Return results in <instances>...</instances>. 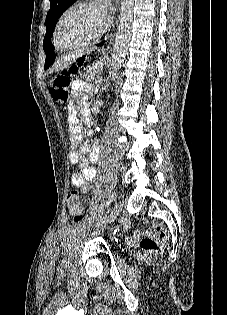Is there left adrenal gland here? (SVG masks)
Masks as SVG:
<instances>
[{
  "mask_svg": "<svg viewBox=\"0 0 227 315\" xmlns=\"http://www.w3.org/2000/svg\"><path fill=\"white\" fill-rule=\"evenodd\" d=\"M103 79L101 76V73L98 75L97 80L95 81L96 87H95V94L98 92V90L100 89V84L102 83ZM104 89V88H103Z\"/></svg>",
  "mask_w": 227,
  "mask_h": 315,
  "instance_id": "a2214340",
  "label": "left adrenal gland"
}]
</instances>
